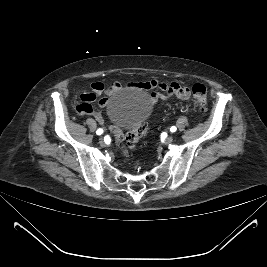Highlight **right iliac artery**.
<instances>
[{"mask_svg":"<svg viewBox=\"0 0 267 267\" xmlns=\"http://www.w3.org/2000/svg\"><path fill=\"white\" fill-rule=\"evenodd\" d=\"M96 133H97L98 135H101V134L103 133V130H102V129H98V130L96 131Z\"/></svg>","mask_w":267,"mask_h":267,"instance_id":"right-iliac-artery-1","label":"right iliac artery"}]
</instances>
